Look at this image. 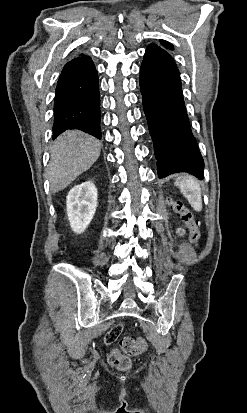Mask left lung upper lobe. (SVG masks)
I'll list each match as a JSON object with an SVG mask.
<instances>
[{"label":"left lung upper lobe","instance_id":"obj_1","mask_svg":"<svg viewBox=\"0 0 247 413\" xmlns=\"http://www.w3.org/2000/svg\"><path fill=\"white\" fill-rule=\"evenodd\" d=\"M160 43H161L165 48H168V49L173 50V45H172L171 43H169L168 41H166V40H160ZM149 46H151V47H159V46L156 45V44H151V45H149Z\"/></svg>","mask_w":247,"mask_h":413}]
</instances>
